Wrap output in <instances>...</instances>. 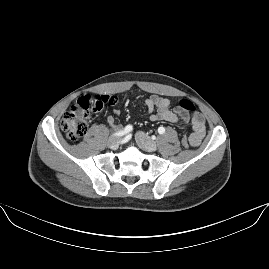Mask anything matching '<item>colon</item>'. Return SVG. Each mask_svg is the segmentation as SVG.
I'll use <instances>...</instances> for the list:
<instances>
[{
    "label": "colon",
    "instance_id": "5ec220e1",
    "mask_svg": "<svg viewBox=\"0 0 269 269\" xmlns=\"http://www.w3.org/2000/svg\"><path fill=\"white\" fill-rule=\"evenodd\" d=\"M118 99L112 97L91 98L89 94H84L78 98L73 106L63 115L61 120V129L63 134L71 141L81 140L87 133L90 116L101 111L103 108H110L111 104H117ZM178 108L193 112L194 105L187 99H180L177 102ZM180 146L183 149L188 148L189 140L186 133L180 134Z\"/></svg>",
    "mask_w": 269,
    "mask_h": 269
}]
</instances>
